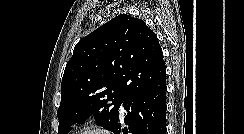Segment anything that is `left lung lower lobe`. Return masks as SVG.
<instances>
[{"instance_id":"obj_1","label":"left lung lower lobe","mask_w":244,"mask_h":134,"mask_svg":"<svg viewBox=\"0 0 244 134\" xmlns=\"http://www.w3.org/2000/svg\"><path fill=\"white\" fill-rule=\"evenodd\" d=\"M125 127L119 122L120 109L109 131L119 134H165L166 133V86L131 94L123 101Z\"/></svg>"}]
</instances>
